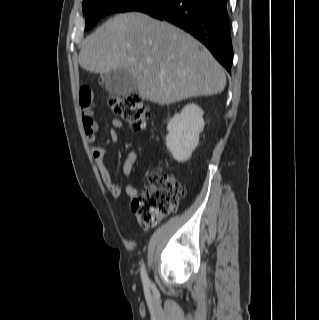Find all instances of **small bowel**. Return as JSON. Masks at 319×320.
<instances>
[{
  "label": "small bowel",
  "instance_id": "1",
  "mask_svg": "<svg viewBox=\"0 0 319 320\" xmlns=\"http://www.w3.org/2000/svg\"><path fill=\"white\" fill-rule=\"evenodd\" d=\"M79 102L81 105L82 112V123L86 133L87 140L89 142H95L96 132L98 130V123L95 120L94 111L92 108L93 104V93L88 87H83L80 90ZM113 128L110 131V136L113 140H118L121 136V131L124 129L123 122L115 118L112 120ZM105 153L106 149L102 146H94L91 148V155L95 162L96 168L99 175L115 199L122 197L121 187L114 181L111 172L105 164ZM138 160V154L136 152H128L125 156L122 165V171L125 176H130L135 163ZM125 192L128 196L132 197L138 193L136 186L132 183L127 184Z\"/></svg>",
  "mask_w": 319,
  "mask_h": 320
}]
</instances>
